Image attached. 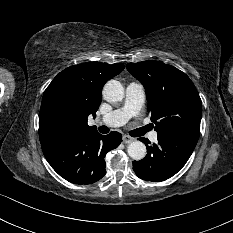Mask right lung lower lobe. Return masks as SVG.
Instances as JSON below:
<instances>
[{
  "instance_id": "obj_1",
  "label": "right lung lower lobe",
  "mask_w": 233,
  "mask_h": 233,
  "mask_svg": "<svg viewBox=\"0 0 233 233\" xmlns=\"http://www.w3.org/2000/svg\"><path fill=\"white\" fill-rule=\"evenodd\" d=\"M121 141L118 132L101 135L92 130L43 141L41 147L47 161L61 177L74 184L87 185L106 174L104 157Z\"/></svg>"
}]
</instances>
